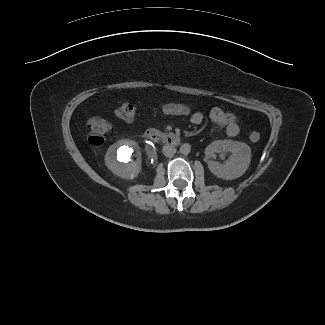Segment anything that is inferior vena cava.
<instances>
[{
    "instance_id": "602c4592",
    "label": "inferior vena cava",
    "mask_w": 325,
    "mask_h": 325,
    "mask_svg": "<svg viewBox=\"0 0 325 325\" xmlns=\"http://www.w3.org/2000/svg\"><path fill=\"white\" fill-rule=\"evenodd\" d=\"M162 150L166 157H172L176 153V148L171 145L164 146Z\"/></svg>"
}]
</instances>
